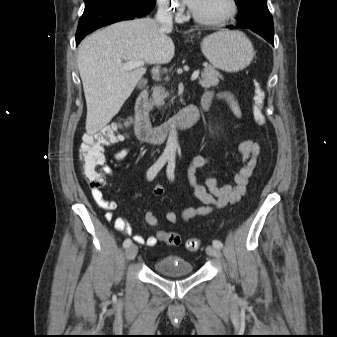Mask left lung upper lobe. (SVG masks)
I'll return each instance as SVG.
<instances>
[{"mask_svg": "<svg viewBox=\"0 0 337 337\" xmlns=\"http://www.w3.org/2000/svg\"><path fill=\"white\" fill-rule=\"evenodd\" d=\"M239 14L237 19L259 21L273 24L272 16L267 7V0H235Z\"/></svg>", "mask_w": 337, "mask_h": 337, "instance_id": "left-lung-upper-lobe-1", "label": "left lung upper lobe"}]
</instances>
